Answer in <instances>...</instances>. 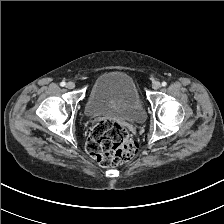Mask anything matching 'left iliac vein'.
I'll list each match as a JSON object with an SVG mask.
<instances>
[{
	"label": "left iliac vein",
	"mask_w": 224,
	"mask_h": 224,
	"mask_svg": "<svg viewBox=\"0 0 224 224\" xmlns=\"http://www.w3.org/2000/svg\"><path fill=\"white\" fill-rule=\"evenodd\" d=\"M161 87V84L159 81H154L153 84H152V88L154 90H158L159 88Z\"/></svg>",
	"instance_id": "left-iliac-vein-1"
}]
</instances>
